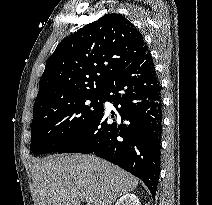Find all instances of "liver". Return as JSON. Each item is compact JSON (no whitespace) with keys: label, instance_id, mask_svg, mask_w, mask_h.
I'll list each match as a JSON object with an SVG mask.
<instances>
[{"label":"liver","instance_id":"obj_1","mask_svg":"<svg viewBox=\"0 0 212 205\" xmlns=\"http://www.w3.org/2000/svg\"><path fill=\"white\" fill-rule=\"evenodd\" d=\"M37 205H112L136 189L138 180L94 155L50 156L33 165Z\"/></svg>","mask_w":212,"mask_h":205}]
</instances>
